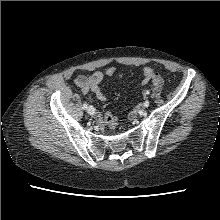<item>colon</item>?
Masks as SVG:
<instances>
[{
	"label": "colon",
	"instance_id": "colon-1",
	"mask_svg": "<svg viewBox=\"0 0 220 220\" xmlns=\"http://www.w3.org/2000/svg\"><path fill=\"white\" fill-rule=\"evenodd\" d=\"M165 84L164 79L157 80V86H163ZM104 120L107 124L108 130L110 132H114L117 130L118 127V119L115 113L112 111H107L104 116Z\"/></svg>",
	"mask_w": 220,
	"mask_h": 220
}]
</instances>
